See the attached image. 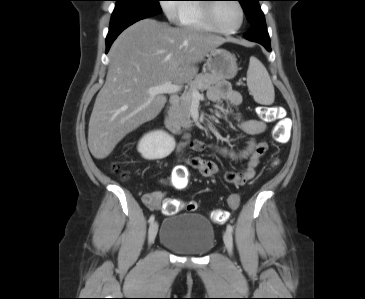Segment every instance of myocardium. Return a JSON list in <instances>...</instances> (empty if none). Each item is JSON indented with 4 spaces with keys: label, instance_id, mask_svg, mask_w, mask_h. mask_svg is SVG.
Returning <instances> with one entry per match:
<instances>
[{
    "label": "myocardium",
    "instance_id": "f54148a6",
    "mask_svg": "<svg viewBox=\"0 0 365 299\" xmlns=\"http://www.w3.org/2000/svg\"><path fill=\"white\" fill-rule=\"evenodd\" d=\"M210 1H212V2H208V3L204 4L203 7H204V13H205V20H206L207 24L209 25V27L211 28V31H213L215 33H219V34H234L243 27L245 18H246V14H245L244 7L239 0H233V1L236 3V5L238 6V8L240 10L241 20H240L239 25L233 29H224V28H220L216 25L214 12H215V8H216L218 2H214L217 0H210Z\"/></svg>",
    "mask_w": 365,
    "mask_h": 299
}]
</instances>
